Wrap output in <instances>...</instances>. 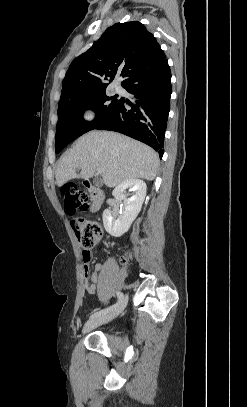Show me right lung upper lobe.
<instances>
[{
  "label": "right lung upper lobe",
  "mask_w": 247,
  "mask_h": 407,
  "mask_svg": "<svg viewBox=\"0 0 247 407\" xmlns=\"http://www.w3.org/2000/svg\"><path fill=\"white\" fill-rule=\"evenodd\" d=\"M166 56L156 38L138 21L117 23L106 29L101 38L76 57L63 80L59 105L82 99L106 89L101 82L123 78L121 85L141 69L157 65Z\"/></svg>",
  "instance_id": "right-lung-upper-lobe-1"
}]
</instances>
